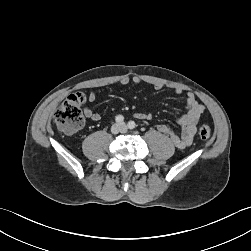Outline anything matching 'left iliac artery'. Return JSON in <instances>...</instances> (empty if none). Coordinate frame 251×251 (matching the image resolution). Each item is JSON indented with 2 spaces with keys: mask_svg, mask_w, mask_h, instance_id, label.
<instances>
[{
  "mask_svg": "<svg viewBox=\"0 0 251 251\" xmlns=\"http://www.w3.org/2000/svg\"><path fill=\"white\" fill-rule=\"evenodd\" d=\"M135 126H136V124H135L134 121H129V122H128V128H129V129H134Z\"/></svg>",
  "mask_w": 251,
  "mask_h": 251,
  "instance_id": "left-iliac-artery-1",
  "label": "left iliac artery"
}]
</instances>
